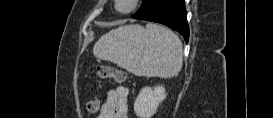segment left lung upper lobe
<instances>
[{
	"mask_svg": "<svg viewBox=\"0 0 273 118\" xmlns=\"http://www.w3.org/2000/svg\"><path fill=\"white\" fill-rule=\"evenodd\" d=\"M164 0H143L141 8L132 16L135 19H142L146 15L154 12Z\"/></svg>",
	"mask_w": 273,
	"mask_h": 118,
	"instance_id": "1",
	"label": "left lung upper lobe"
}]
</instances>
